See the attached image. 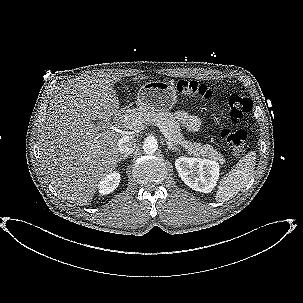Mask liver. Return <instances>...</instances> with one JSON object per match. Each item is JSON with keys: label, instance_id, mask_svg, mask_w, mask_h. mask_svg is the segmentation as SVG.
Returning <instances> with one entry per match:
<instances>
[{"label": "liver", "instance_id": "6515ba94", "mask_svg": "<svg viewBox=\"0 0 303 303\" xmlns=\"http://www.w3.org/2000/svg\"><path fill=\"white\" fill-rule=\"evenodd\" d=\"M118 81L98 75L68 84L52 99L40 130L42 167L58 194L75 205H87L117 166L122 133L101 132L94 122L119 111L112 89Z\"/></svg>", "mask_w": 303, "mask_h": 303}]
</instances>
